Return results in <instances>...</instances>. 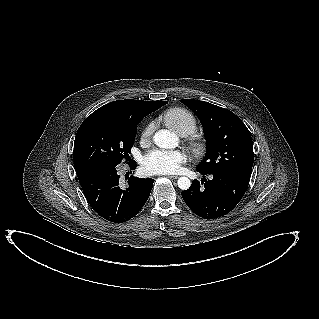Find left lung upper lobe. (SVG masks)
<instances>
[{
	"mask_svg": "<svg viewBox=\"0 0 319 319\" xmlns=\"http://www.w3.org/2000/svg\"><path fill=\"white\" fill-rule=\"evenodd\" d=\"M200 119L205 132L207 153L197 167L198 172L230 173L250 181L254 162L249 130L234 113L211 103L183 99Z\"/></svg>",
	"mask_w": 319,
	"mask_h": 319,
	"instance_id": "5c2ea615",
	"label": "left lung upper lobe"
}]
</instances>
